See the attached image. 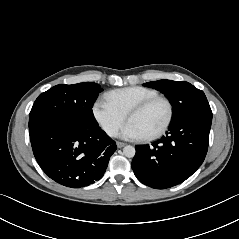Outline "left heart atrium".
I'll return each mask as SVG.
<instances>
[{
    "mask_svg": "<svg viewBox=\"0 0 239 239\" xmlns=\"http://www.w3.org/2000/svg\"><path fill=\"white\" fill-rule=\"evenodd\" d=\"M120 136L125 139H139L142 138L138 129L130 122H128L120 131Z\"/></svg>",
    "mask_w": 239,
    "mask_h": 239,
    "instance_id": "obj_1",
    "label": "left heart atrium"
}]
</instances>
